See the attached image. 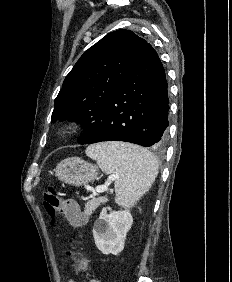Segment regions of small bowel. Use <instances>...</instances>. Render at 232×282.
<instances>
[{
	"mask_svg": "<svg viewBox=\"0 0 232 282\" xmlns=\"http://www.w3.org/2000/svg\"><path fill=\"white\" fill-rule=\"evenodd\" d=\"M68 282H76V281H74L73 279L69 278Z\"/></svg>",
	"mask_w": 232,
	"mask_h": 282,
	"instance_id": "obj_1",
	"label": "small bowel"
}]
</instances>
